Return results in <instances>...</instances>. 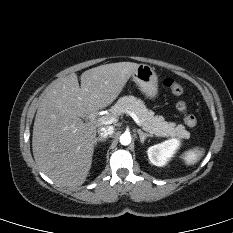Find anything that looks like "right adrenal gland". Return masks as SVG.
I'll list each match as a JSON object with an SVG mask.
<instances>
[{"mask_svg": "<svg viewBox=\"0 0 233 233\" xmlns=\"http://www.w3.org/2000/svg\"><path fill=\"white\" fill-rule=\"evenodd\" d=\"M106 138H102V137H99V138H96L95 139V145H97L98 142H106Z\"/></svg>", "mask_w": 233, "mask_h": 233, "instance_id": "2a0ac1e0", "label": "right adrenal gland"}]
</instances>
